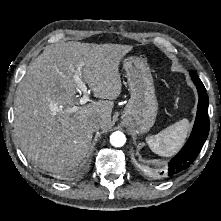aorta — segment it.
Returning <instances> with one entry per match:
<instances>
[{
	"instance_id": "aorta-1",
	"label": "aorta",
	"mask_w": 221,
	"mask_h": 221,
	"mask_svg": "<svg viewBox=\"0 0 221 221\" xmlns=\"http://www.w3.org/2000/svg\"><path fill=\"white\" fill-rule=\"evenodd\" d=\"M110 143L114 147H122L126 143V136L121 131H115L110 136Z\"/></svg>"
}]
</instances>
